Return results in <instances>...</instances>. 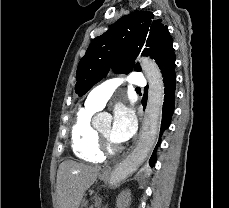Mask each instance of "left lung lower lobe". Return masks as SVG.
Here are the masks:
<instances>
[{"instance_id":"1","label":"left lung lower lobe","mask_w":229,"mask_h":208,"mask_svg":"<svg viewBox=\"0 0 229 208\" xmlns=\"http://www.w3.org/2000/svg\"><path fill=\"white\" fill-rule=\"evenodd\" d=\"M164 82V103L162 110V122H161V134L166 130L171 123V116L174 112L175 104V85H176V73H175V60L171 61L165 73L163 74ZM142 105L146 106V97L142 100ZM160 145V140L154 149V152L149 160L150 167H153L156 163V150Z\"/></svg>"}]
</instances>
